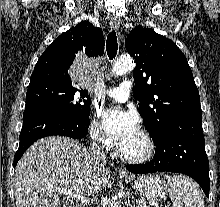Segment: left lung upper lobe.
Listing matches in <instances>:
<instances>
[{
  "label": "left lung upper lobe",
  "mask_w": 220,
  "mask_h": 207,
  "mask_svg": "<svg viewBox=\"0 0 220 207\" xmlns=\"http://www.w3.org/2000/svg\"><path fill=\"white\" fill-rule=\"evenodd\" d=\"M125 47L136 61L135 97L152 138L159 137L173 120L201 112L191 68L172 40L138 26L127 35Z\"/></svg>",
  "instance_id": "obj_1"
}]
</instances>
